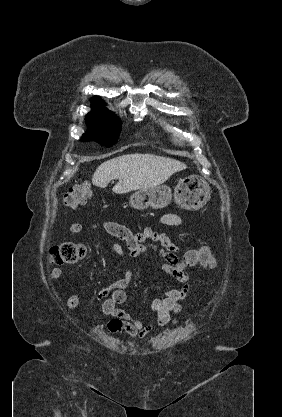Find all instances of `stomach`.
I'll list each match as a JSON object with an SVG mask.
<instances>
[{
  "instance_id": "1",
  "label": "stomach",
  "mask_w": 282,
  "mask_h": 417,
  "mask_svg": "<svg viewBox=\"0 0 282 417\" xmlns=\"http://www.w3.org/2000/svg\"><path fill=\"white\" fill-rule=\"evenodd\" d=\"M193 186V188H192ZM211 194V188L200 176H185L181 178L174 188V194L167 184H159L153 188H141L130 196V204L133 209H164L171 202L172 196L176 204L181 206L185 211H198L208 202Z\"/></svg>"
}]
</instances>
